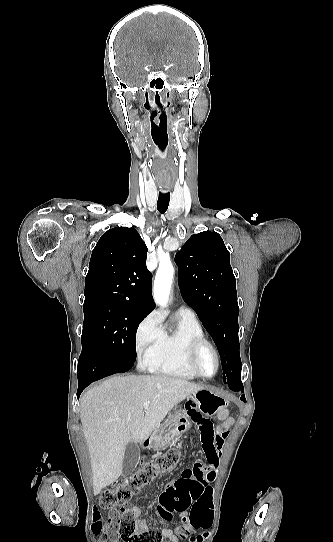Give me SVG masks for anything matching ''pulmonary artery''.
<instances>
[{
  "instance_id": "obj_1",
  "label": "pulmonary artery",
  "mask_w": 333,
  "mask_h": 542,
  "mask_svg": "<svg viewBox=\"0 0 333 542\" xmlns=\"http://www.w3.org/2000/svg\"><path fill=\"white\" fill-rule=\"evenodd\" d=\"M177 313L187 317V318H192V319H195L196 318V314L194 312V310L187 306V305H181L178 310H177Z\"/></svg>"
}]
</instances>
